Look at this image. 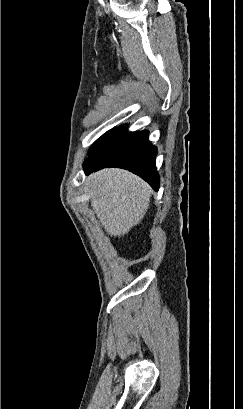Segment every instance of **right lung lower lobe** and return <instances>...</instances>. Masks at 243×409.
Returning <instances> with one entry per match:
<instances>
[{"label":"right lung lower lobe","mask_w":243,"mask_h":409,"mask_svg":"<svg viewBox=\"0 0 243 409\" xmlns=\"http://www.w3.org/2000/svg\"><path fill=\"white\" fill-rule=\"evenodd\" d=\"M157 149L148 139V131L128 132L127 125L100 137L90 148L84 162L86 174L104 167L129 170L147 181L155 190L160 180L156 170Z\"/></svg>","instance_id":"obj_1"}]
</instances>
